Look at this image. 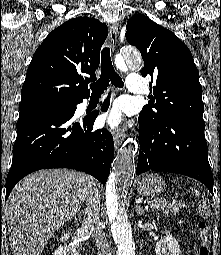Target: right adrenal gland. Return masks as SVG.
Returning a JSON list of instances; mask_svg holds the SVG:
<instances>
[{"instance_id": "1", "label": "right adrenal gland", "mask_w": 221, "mask_h": 255, "mask_svg": "<svg viewBox=\"0 0 221 255\" xmlns=\"http://www.w3.org/2000/svg\"><path fill=\"white\" fill-rule=\"evenodd\" d=\"M82 214H83L84 216H86V214H87L86 209L82 210Z\"/></svg>"}]
</instances>
